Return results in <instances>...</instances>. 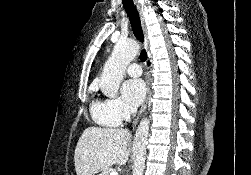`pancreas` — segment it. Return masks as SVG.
Wrapping results in <instances>:
<instances>
[{
  "mask_svg": "<svg viewBox=\"0 0 251 175\" xmlns=\"http://www.w3.org/2000/svg\"><path fill=\"white\" fill-rule=\"evenodd\" d=\"M110 171H112V167H104V169H102L100 175H110Z\"/></svg>",
  "mask_w": 251,
  "mask_h": 175,
  "instance_id": "cf45deb5",
  "label": "pancreas"
}]
</instances>
